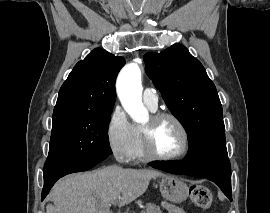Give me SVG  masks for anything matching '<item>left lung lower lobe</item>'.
Returning a JSON list of instances; mask_svg holds the SVG:
<instances>
[{
    "label": "left lung lower lobe",
    "instance_id": "left-lung-lower-lobe-1",
    "mask_svg": "<svg viewBox=\"0 0 270 213\" xmlns=\"http://www.w3.org/2000/svg\"><path fill=\"white\" fill-rule=\"evenodd\" d=\"M154 167L161 169L163 171L173 173V174H184L193 177H203L208 180L216 183L224 194L232 201L231 194V176L229 177H221V176H208L204 177L201 168L198 167L196 161L193 159L192 154L188 153L183 162H176L172 164H160L155 165Z\"/></svg>",
    "mask_w": 270,
    "mask_h": 213
}]
</instances>
